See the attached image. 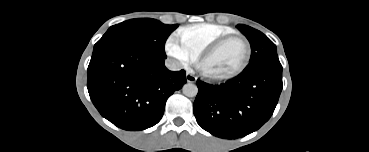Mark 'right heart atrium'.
<instances>
[{
	"instance_id": "obj_1",
	"label": "right heart atrium",
	"mask_w": 369,
	"mask_h": 152,
	"mask_svg": "<svg viewBox=\"0 0 369 152\" xmlns=\"http://www.w3.org/2000/svg\"><path fill=\"white\" fill-rule=\"evenodd\" d=\"M166 53L180 66L187 68L196 61V56L184 45L179 36L171 35L165 43Z\"/></svg>"
}]
</instances>
